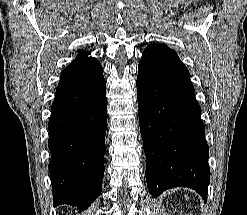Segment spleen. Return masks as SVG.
<instances>
[{"mask_svg": "<svg viewBox=\"0 0 247 215\" xmlns=\"http://www.w3.org/2000/svg\"><path fill=\"white\" fill-rule=\"evenodd\" d=\"M185 198L188 199V196L185 195Z\"/></svg>", "mask_w": 247, "mask_h": 215, "instance_id": "1", "label": "spleen"}]
</instances>
